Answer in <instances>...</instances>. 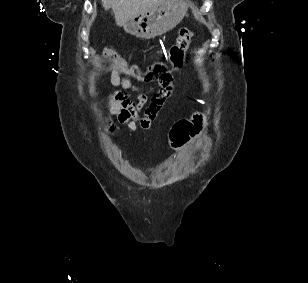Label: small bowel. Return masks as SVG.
Returning a JSON list of instances; mask_svg holds the SVG:
<instances>
[{"label":"small bowel","instance_id":"small-bowel-1","mask_svg":"<svg viewBox=\"0 0 308 283\" xmlns=\"http://www.w3.org/2000/svg\"><path fill=\"white\" fill-rule=\"evenodd\" d=\"M109 81L121 90L108 95L105 109L132 132L148 130L173 91V85L141 88L130 78L121 76L117 68L111 70Z\"/></svg>","mask_w":308,"mask_h":283}]
</instances>
